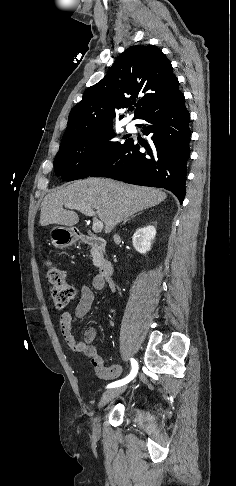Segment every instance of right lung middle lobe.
<instances>
[{
    "label": "right lung middle lobe",
    "mask_w": 236,
    "mask_h": 486,
    "mask_svg": "<svg viewBox=\"0 0 236 486\" xmlns=\"http://www.w3.org/2000/svg\"><path fill=\"white\" fill-rule=\"evenodd\" d=\"M114 135L108 127L61 144L54 160L56 174L65 181L90 176L132 140L110 141Z\"/></svg>",
    "instance_id": "obj_1"
}]
</instances>
